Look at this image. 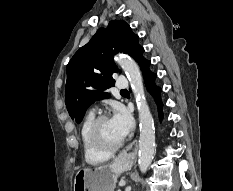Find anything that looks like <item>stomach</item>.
Returning <instances> with one entry per match:
<instances>
[{"mask_svg": "<svg viewBox=\"0 0 233 191\" xmlns=\"http://www.w3.org/2000/svg\"><path fill=\"white\" fill-rule=\"evenodd\" d=\"M128 164L116 161L111 165L81 168L74 178V191H114L119 175Z\"/></svg>", "mask_w": 233, "mask_h": 191, "instance_id": "obj_1", "label": "stomach"}]
</instances>
